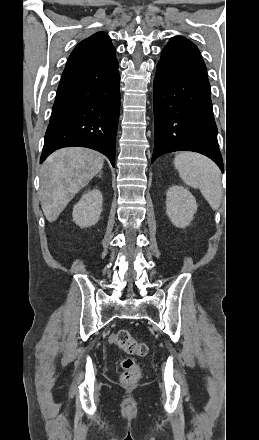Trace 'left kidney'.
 Wrapping results in <instances>:
<instances>
[{"instance_id": "obj_1", "label": "left kidney", "mask_w": 259, "mask_h": 440, "mask_svg": "<svg viewBox=\"0 0 259 440\" xmlns=\"http://www.w3.org/2000/svg\"><path fill=\"white\" fill-rule=\"evenodd\" d=\"M197 211L195 197L184 187L174 185L166 194V213L176 227L185 228Z\"/></svg>"}]
</instances>
